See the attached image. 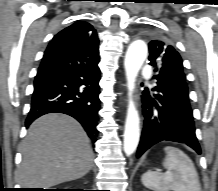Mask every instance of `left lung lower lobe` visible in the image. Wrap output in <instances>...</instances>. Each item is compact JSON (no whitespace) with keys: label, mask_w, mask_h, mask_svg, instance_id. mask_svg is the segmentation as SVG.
Wrapping results in <instances>:
<instances>
[{"label":"left lung lower lobe","mask_w":218,"mask_h":191,"mask_svg":"<svg viewBox=\"0 0 218 191\" xmlns=\"http://www.w3.org/2000/svg\"><path fill=\"white\" fill-rule=\"evenodd\" d=\"M142 102L144 128L137 150L138 158L162 140L185 143L201 153L189 99L179 95L168 96L156 86L143 91Z\"/></svg>","instance_id":"left-lung-lower-lobe-1"}]
</instances>
